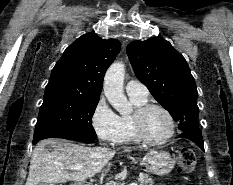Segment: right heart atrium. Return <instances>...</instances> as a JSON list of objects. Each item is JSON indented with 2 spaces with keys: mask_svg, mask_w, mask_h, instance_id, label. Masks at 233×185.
Listing matches in <instances>:
<instances>
[{
  "mask_svg": "<svg viewBox=\"0 0 233 185\" xmlns=\"http://www.w3.org/2000/svg\"><path fill=\"white\" fill-rule=\"evenodd\" d=\"M90 121L100 141L107 144L118 143L122 133L120 116L110 107L104 96L97 100Z\"/></svg>",
  "mask_w": 233,
  "mask_h": 185,
  "instance_id": "right-heart-atrium-1",
  "label": "right heart atrium"
}]
</instances>
